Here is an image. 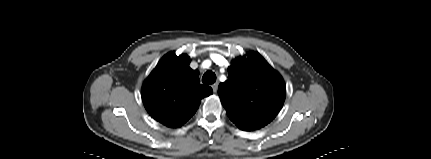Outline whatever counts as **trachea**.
I'll use <instances>...</instances> for the list:
<instances>
[{"label": "trachea", "instance_id": "trachea-1", "mask_svg": "<svg viewBox=\"0 0 431 159\" xmlns=\"http://www.w3.org/2000/svg\"><path fill=\"white\" fill-rule=\"evenodd\" d=\"M216 81V74L212 72L211 70H208L205 72V74L202 77V82L205 84H213Z\"/></svg>", "mask_w": 431, "mask_h": 159}]
</instances>
